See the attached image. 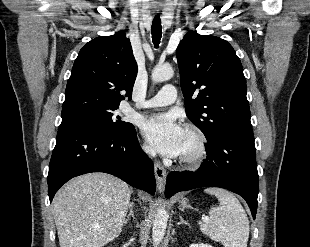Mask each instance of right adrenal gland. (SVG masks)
<instances>
[{"instance_id": "2a0ac1e0", "label": "right adrenal gland", "mask_w": 310, "mask_h": 247, "mask_svg": "<svg viewBox=\"0 0 310 247\" xmlns=\"http://www.w3.org/2000/svg\"><path fill=\"white\" fill-rule=\"evenodd\" d=\"M130 217L135 219V216H134V213H133V204H130V206H129V214L127 215V217H126V219L124 221V226L127 225V223L130 220Z\"/></svg>"}]
</instances>
